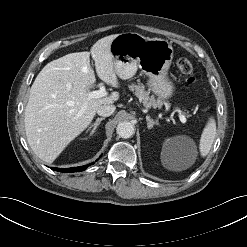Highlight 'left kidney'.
<instances>
[{
    "label": "left kidney",
    "mask_w": 247,
    "mask_h": 247,
    "mask_svg": "<svg viewBox=\"0 0 247 247\" xmlns=\"http://www.w3.org/2000/svg\"><path fill=\"white\" fill-rule=\"evenodd\" d=\"M188 138L179 136L172 139H167L163 145V156L166 158L167 166L170 169H178L177 162H182L185 142Z\"/></svg>",
    "instance_id": "1"
}]
</instances>
